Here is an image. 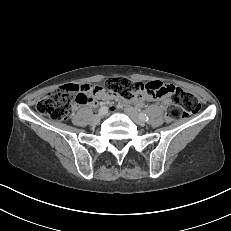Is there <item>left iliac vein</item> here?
Segmentation results:
<instances>
[{"instance_id":"left-iliac-vein-1","label":"left iliac vein","mask_w":231,"mask_h":231,"mask_svg":"<svg viewBox=\"0 0 231 231\" xmlns=\"http://www.w3.org/2000/svg\"><path fill=\"white\" fill-rule=\"evenodd\" d=\"M125 113L136 123H138L141 126H144L145 120L140 116V114L135 108L128 106L125 108Z\"/></svg>"}]
</instances>
